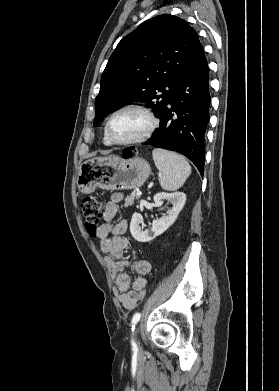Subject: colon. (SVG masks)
Segmentation results:
<instances>
[{"label": "colon", "instance_id": "1", "mask_svg": "<svg viewBox=\"0 0 279 391\" xmlns=\"http://www.w3.org/2000/svg\"><path fill=\"white\" fill-rule=\"evenodd\" d=\"M81 210L85 218L86 227L91 235H96L100 226L105 204L96 197H85L81 202ZM146 295V289L139 292V299L142 300Z\"/></svg>", "mask_w": 279, "mask_h": 391}]
</instances>
